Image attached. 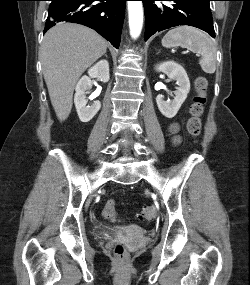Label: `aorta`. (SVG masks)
I'll return each mask as SVG.
<instances>
[{"label": "aorta", "instance_id": "aorta-1", "mask_svg": "<svg viewBox=\"0 0 250 285\" xmlns=\"http://www.w3.org/2000/svg\"><path fill=\"white\" fill-rule=\"evenodd\" d=\"M129 29L132 38L139 37L143 26V3L142 1H128Z\"/></svg>", "mask_w": 250, "mask_h": 285}]
</instances>
